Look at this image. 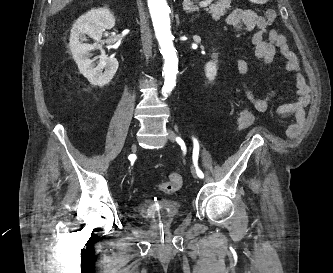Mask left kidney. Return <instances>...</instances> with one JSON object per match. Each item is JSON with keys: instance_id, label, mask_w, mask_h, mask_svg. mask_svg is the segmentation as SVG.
Returning a JSON list of instances; mask_svg holds the SVG:
<instances>
[{"instance_id": "left-kidney-1", "label": "left kidney", "mask_w": 333, "mask_h": 273, "mask_svg": "<svg viewBox=\"0 0 333 273\" xmlns=\"http://www.w3.org/2000/svg\"><path fill=\"white\" fill-rule=\"evenodd\" d=\"M216 63L217 61H210L205 65V74L210 81L215 79L217 73Z\"/></svg>"}]
</instances>
